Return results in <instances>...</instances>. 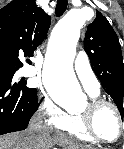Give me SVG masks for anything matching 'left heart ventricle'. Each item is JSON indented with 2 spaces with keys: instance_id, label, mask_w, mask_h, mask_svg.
<instances>
[{
  "instance_id": "b2bd125f",
  "label": "left heart ventricle",
  "mask_w": 124,
  "mask_h": 149,
  "mask_svg": "<svg viewBox=\"0 0 124 149\" xmlns=\"http://www.w3.org/2000/svg\"><path fill=\"white\" fill-rule=\"evenodd\" d=\"M88 108L85 106L84 111ZM94 128L96 132L107 140H114L119 134V124L115 113L110 107H101L94 115Z\"/></svg>"
}]
</instances>
